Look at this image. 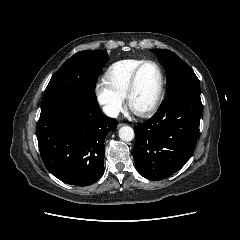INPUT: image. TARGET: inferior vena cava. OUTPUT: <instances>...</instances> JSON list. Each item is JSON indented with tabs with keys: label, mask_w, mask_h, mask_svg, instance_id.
I'll return each mask as SVG.
<instances>
[{
	"label": "inferior vena cava",
	"mask_w": 240,
	"mask_h": 240,
	"mask_svg": "<svg viewBox=\"0 0 240 240\" xmlns=\"http://www.w3.org/2000/svg\"><path fill=\"white\" fill-rule=\"evenodd\" d=\"M103 112L109 117L117 118L119 114V109L111 105H106L103 106Z\"/></svg>",
	"instance_id": "obj_1"
}]
</instances>
